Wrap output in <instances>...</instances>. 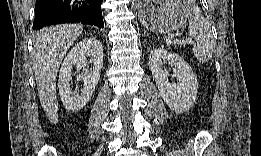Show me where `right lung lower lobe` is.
Listing matches in <instances>:
<instances>
[{
    "label": "right lung lower lobe",
    "mask_w": 261,
    "mask_h": 156,
    "mask_svg": "<svg viewBox=\"0 0 261 156\" xmlns=\"http://www.w3.org/2000/svg\"><path fill=\"white\" fill-rule=\"evenodd\" d=\"M103 0H36L33 29L60 23H83L104 27Z\"/></svg>",
    "instance_id": "obj_1"
}]
</instances>
